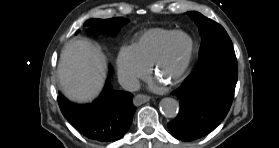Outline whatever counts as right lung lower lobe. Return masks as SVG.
Returning a JSON list of instances; mask_svg holds the SVG:
<instances>
[{"instance_id":"obj_1","label":"right lung lower lobe","mask_w":279,"mask_h":148,"mask_svg":"<svg viewBox=\"0 0 279 148\" xmlns=\"http://www.w3.org/2000/svg\"><path fill=\"white\" fill-rule=\"evenodd\" d=\"M129 92L112 90L107 82L100 97L89 105H76L63 95L58 103L64 117L80 133L99 142L122 138L129 129L136 107Z\"/></svg>"}]
</instances>
